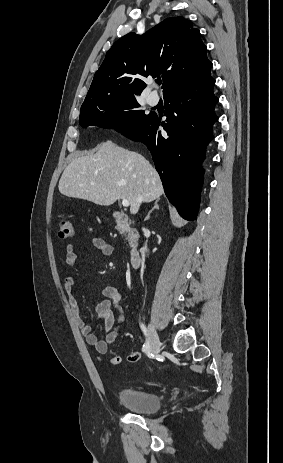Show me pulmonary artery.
<instances>
[{"instance_id": "pulmonary-artery-1", "label": "pulmonary artery", "mask_w": 283, "mask_h": 463, "mask_svg": "<svg viewBox=\"0 0 283 463\" xmlns=\"http://www.w3.org/2000/svg\"><path fill=\"white\" fill-rule=\"evenodd\" d=\"M159 101H160V97L158 96L156 92L150 93L147 97V102L151 106L158 105Z\"/></svg>"}]
</instances>
